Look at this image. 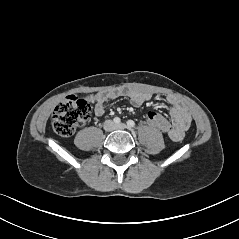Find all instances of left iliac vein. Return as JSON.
<instances>
[{"label": "left iliac vein", "instance_id": "1", "mask_svg": "<svg viewBox=\"0 0 239 239\" xmlns=\"http://www.w3.org/2000/svg\"><path fill=\"white\" fill-rule=\"evenodd\" d=\"M115 128L116 129H125L126 125L124 123H120V124L115 125Z\"/></svg>", "mask_w": 239, "mask_h": 239}]
</instances>
